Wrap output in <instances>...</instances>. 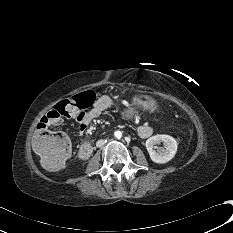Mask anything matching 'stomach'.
<instances>
[{
    "mask_svg": "<svg viewBox=\"0 0 233 233\" xmlns=\"http://www.w3.org/2000/svg\"><path fill=\"white\" fill-rule=\"evenodd\" d=\"M134 103L137 109H141L143 111H154L156 108V101L154 98L149 95H136L134 97ZM125 117H134L135 112L133 110H127L124 113Z\"/></svg>",
    "mask_w": 233,
    "mask_h": 233,
    "instance_id": "stomach-1",
    "label": "stomach"
}]
</instances>
